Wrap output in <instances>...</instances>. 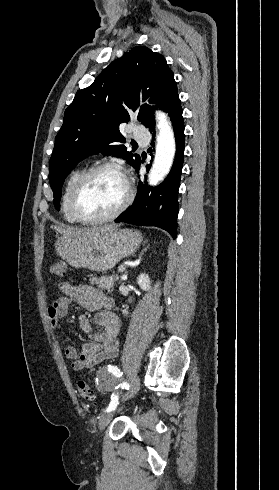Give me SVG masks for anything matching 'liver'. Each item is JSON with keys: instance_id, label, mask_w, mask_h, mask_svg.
Listing matches in <instances>:
<instances>
[{"instance_id": "liver-1", "label": "liver", "mask_w": 279, "mask_h": 490, "mask_svg": "<svg viewBox=\"0 0 279 490\" xmlns=\"http://www.w3.org/2000/svg\"><path fill=\"white\" fill-rule=\"evenodd\" d=\"M53 230H58L62 236L66 238H72V240H78V238H90L93 234H105V232H111V230H117V226H100V228H58V226H51Z\"/></svg>"}]
</instances>
